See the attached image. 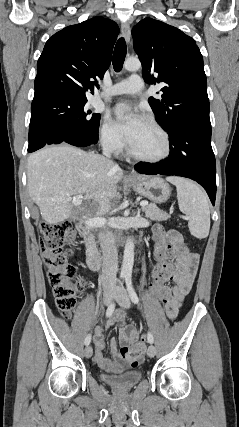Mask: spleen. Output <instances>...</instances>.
<instances>
[{
  "label": "spleen",
  "instance_id": "obj_1",
  "mask_svg": "<svg viewBox=\"0 0 239 427\" xmlns=\"http://www.w3.org/2000/svg\"><path fill=\"white\" fill-rule=\"evenodd\" d=\"M166 180L176 186L179 208L189 219L191 234L198 239L206 238L210 230V210L204 191L185 178L171 176Z\"/></svg>",
  "mask_w": 239,
  "mask_h": 427
}]
</instances>
